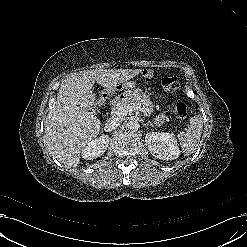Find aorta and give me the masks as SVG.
Segmentation results:
<instances>
[{"label": "aorta", "mask_w": 247, "mask_h": 247, "mask_svg": "<svg viewBox=\"0 0 247 247\" xmlns=\"http://www.w3.org/2000/svg\"><path fill=\"white\" fill-rule=\"evenodd\" d=\"M139 127L140 125L137 120H131L126 124V128L132 132L138 131Z\"/></svg>", "instance_id": "obj_1"}]
</instances>
